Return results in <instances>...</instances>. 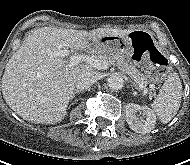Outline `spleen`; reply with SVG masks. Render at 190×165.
Wrapping results in <instances>:
<instances>
[{"instance_id":"1","label":"spleen","mask_w":190,"mask_h":165,"mask_svg":"<svg viewBox=\"0 0 190 165\" xmlns=\"http://www.w3.org/2000/svg\"><path fill=\"white\" fill-rule=\"evenodd\" d=\"M182 98V83L177 73H172L159 91L151 107L162 123H168L177 114Z\"/></svg>"}]
</instances>
